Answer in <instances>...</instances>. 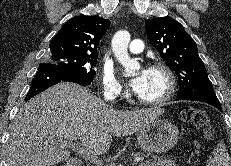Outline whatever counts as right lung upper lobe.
Returning a JSON list of instances; mask_svg holds the SVG:
<instances>
[{"label": "right lung upper lobe", "instance_id": "cb5924a9", "mask_svg": "<svg viewBox=\"0 0 231 166\" xmlns=\"http://www.w3.org/2000/svg\"><path fill=\"white\" fill-rule=\"evenodd\" d=\"M110 26L99 16H76L69 19L54 36L48 54L97 57V48Z\"/></svg>", "mask_w": 231, "mask_h": 166}]
</instances>
